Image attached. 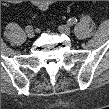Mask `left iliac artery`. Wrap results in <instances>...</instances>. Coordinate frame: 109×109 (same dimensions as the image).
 <instances>
[{"instance_id": "left-iliac-artery-1", "label": "left iliac artery", "mask_w": 109, "mask_h": 109, "mask_svg": "<svg viewBox=\"0 0 109 109\" xmlns=\"http://www.w3.org/2000/svg\"><path fill=\"white\" fill-rule=\"evenodd\" d=\"M67 23H68L69 25H74V24L77 23V19L74 18V17H73V18H70V19H68Z\"/></svg>"}]
</instances>
